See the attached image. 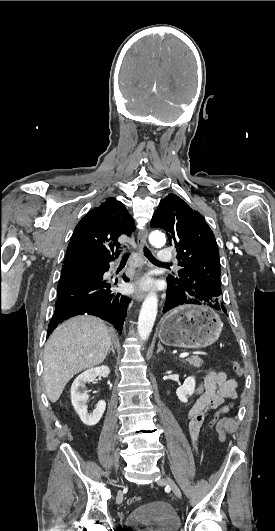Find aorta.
<instances>
[{
    "instance_id": "aorta-1",
    "label": "aorta",
    "mask_w": 275,
    "mask_h": 531,
    "mask_svg": "<svg viewBox=\"0 0 275 531\" xmlns=\"http://www.w3.org/2000/svg\"><path fill=\"white\" fill-rule=\"evenodd\" d=\"M149 241L153 247H160V245H164L165 237L159 231H154V233H151ZM157 311L158 297L156 293H149L141 307L138 319V337H140L141 341L149 339L157 317Z\"/></svg>"
}]
</instances>
